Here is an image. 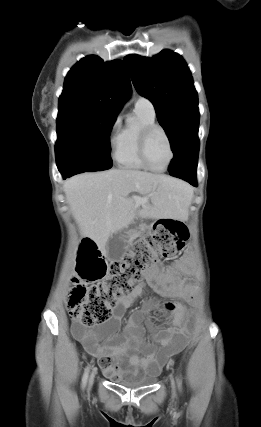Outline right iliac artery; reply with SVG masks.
Returning a JSON list of instances; mask_svg holds the SVG:
<instances>
[{
	"label": "right iliac artery",
	"instance_id": "obj_1",
	"mask_svg": "<svg viewBox=\"0 0 261 427\" xmlns=\"http://www.w3.org/2000/svg\"><path fill=\"white\" fill-rule=\"evenodd\" d=\"M88 373H89V367H87L85 369L84 375H83V379H82V385L83 387H85L86 382H87V378H88Z\"/></svg>",
	"mask_w": 261,
	"mask_h": 427
}]
</instances>
